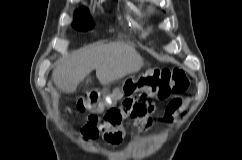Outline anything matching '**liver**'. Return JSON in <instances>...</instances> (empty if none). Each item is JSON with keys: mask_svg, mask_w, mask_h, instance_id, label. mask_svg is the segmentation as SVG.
Returning <instances> with one entry per match:
<instances>
[{"mask_svg": "<svg viewBox=\"0 0 242 160\" xmlns=\"http://www.w3.org/2000/svg\"><path fill=\"white\" fill-rule=\"evenodd\" d=\"M143 66L144 60L133 46L112 42L75 51L66 60L57 64L52 78L58 89L65 93H73L93 70H96L99 82L108 85L128 74L140 71Z\"/></svg>", "mask_w": 242, "mask_h": 160, "instance_id": "6515ba94", "label": "liver"}]
</instances>
